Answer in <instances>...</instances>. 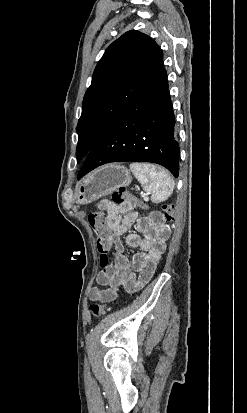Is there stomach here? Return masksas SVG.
Instances as JSON below:
<instances>
[{
	"instance_id": "1",
	"label": "stomach",
	"mask_w": 247,
	"mask_h": 413,
	"mask_svg": "<svg viewBox=\"0 0 247 413\" xmlns=\"http://www.w3.org/2000/svg\"><path fill=\"white\" fill-rule=\"evenodd\" d=\"M131 180V172L124 164H103L77 182L76 202L89 204L121 186H129Z\"/></svg>"
}]
</instances>
